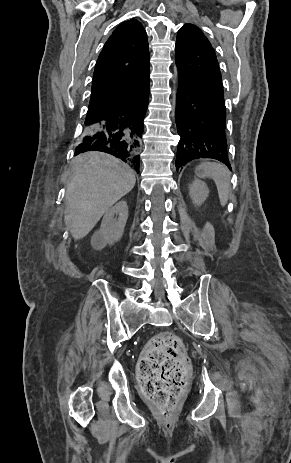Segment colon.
Segmentation results:
<instances>
[{
  "label": "colon",
  "mask_w": 291,
  "mask_h": 463,
  "mask_svg": "<svg viewBox=\"0 0 291 463\" xmlns=\"http://www.w3.org/2000/svg\"><path fill=\"white\" fill-rule=\"evenodd\" d=\"M189 372L184 344L170 332L156 335L143 350L138 362L141 390L164 418L170 417Z\"/></svg>",
  "instance_id": "obj_1"
}]
</instances>
